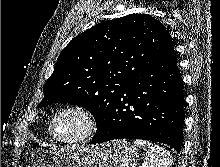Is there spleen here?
Instances as JSON below:
<instances>
[{"mask_svg": "<svg viewBox=\"0 0 220 167\" xmlns=\"http://www.w3.org/2000/svg\"><path fill=\"white\" fill-rule=\"evenodd\" d=\"M134 144L145 150V167H170L173 159L163 147L141 139L134 140Z\"/></svg>", "mask_w": 220, "mask_h": 167, "instance_id": "spleen-1", "label": "spleen"}]
</instances>
